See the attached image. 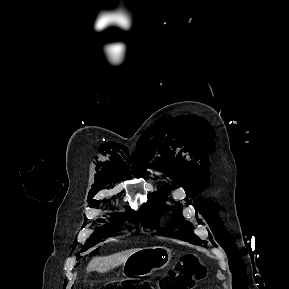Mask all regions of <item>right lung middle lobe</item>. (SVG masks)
Here are the masks:
<instances>
[{
    "label": "right lung middle lobe",
    "mask_w": 289,
    "mask_h": 289,
    "mask_svg": "<svg viewBox=\"0 0 289 289\" xmlns=\"http://www.w3.org/2000/svg\"><path fill=\"white\" fill-rule=\"evenodd\" d=\"M141 218L140 212H134L132 210H128L127 213H118L114 215V218L111 220V224H107L102 228L97 229L95 234L91 237L90 242H87L83 247L82 251H86L87 249L93 247L97 243L101 242L102 239L114 236L116 231H120L122 228V224L127 221L132 223L136 227L139 226ZM98 221H103V219H99ZM104 222V221H103Z\"/></svg>",
    "instance_id": "1"
}]
</instances>
